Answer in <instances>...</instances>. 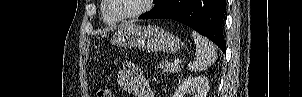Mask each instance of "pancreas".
<instances>
[{"instance_id":"pancreas-1","label":"pancreas","mask_w":302,"mask_h":97,"mask_svg":"<svg viewBox=\"0 0 302 97\" xmlns=\"http://www.w3.org/2000/svg\"><path fill=\"white\" fill-rule=\"evenodd\" d=\"M158 69H160L163 72L176 73L179 71V66L175 65L172 62L165 61V62L159 63Z\"/></svg>"}]
</instances>
